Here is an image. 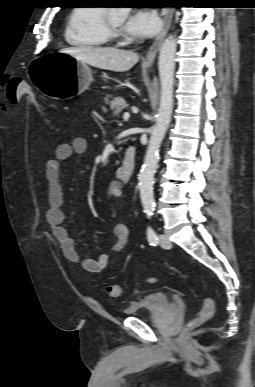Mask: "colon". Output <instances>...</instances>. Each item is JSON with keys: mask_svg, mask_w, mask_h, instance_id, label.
<instances>
[{"mask_svg": "<svg viewBox=\"0 0 255 387\" xmlns=\"http://www.w3.org/2000/svg\"><path fill=\"white\" fill-rule=\"evenodd\" d=\"M6 99L9 103H18L23 95H28L33 98L36 105H38L37 100L30 88V86L25 83L23 80L17 77L10 78L6 84ZM156 281L155 278L150 277L148 282L154 283ZM107 291L109 295L113 298H118L122 294V289L120 285L116 283H110L107 286ZM215 313V302L210 296H203V308L197 317L190 320L186 326L185 330L190 331L206 321L210 320Z\"/></svg>", "mask_w": 255, "mask_h": 387, "instance_id": "colon-1", "label": "colon"}]
</instances>
